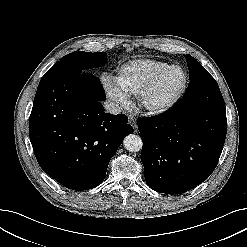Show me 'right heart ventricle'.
<instances>
[{
  "label": "right heart ventricle",
  "instance_id": "right-heart-ventricle-1",
  "mask_svg": "<svg viewBox=\"0 0 247 247\" xmlns=\"http://www.w3.org/2000/svg\"><path fill=\"white\" fill-rule=\"evenodd\" d=\"M170 64L154 59H136L122 65L115 83L126 95H138L154 74Z\"/></svg>",
  "mask_w": 247,
  "mask_h": 247
}]
</instances>
